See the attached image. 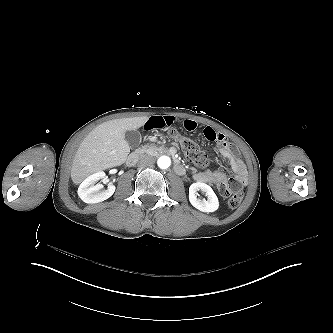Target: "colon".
Masks as SVG:
<instances>
[{
    "instance_id": "1",
    "label": "colon",
    "mask_w": 333,
    "mask_h": 333,
    "mask_svg": "<svg viewBox=\"0 0 333 333\" xmlns=\"http://www.w3.org/2000/svg\"><path fill=\"white\" fill-rule=\"evenodd\" d=\"M145 131L149 132L147 130ZM171 137L180 145L181 150L186 154L190 161L199 167H206L208 156L194 140L188 138H178L176 134H172ZM231 180L234 185L228 183L222 184L219 191L221 196L227 200L228 206L230 208H236L240 205L243 199V192L238 185H241L244 179L241 174L237 173L232 176Z\"/></svg>"
}]
</instances>
